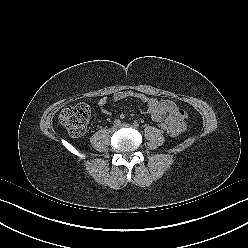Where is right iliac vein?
Returning a JSON list of instances; mask_svg holds the SVG:
<instances>
[{"mask_svg":"<svg viewBox=\"0 0 248 248\" xmlns=\"http://www.w3.org/2000/svg\"><path fill=\"white\" fill-rule=\"evenodd\" d=\"M116 130H117V127L113 126V127L110 128V133H114Z\"/></svg>","mask_w":248,"mask_h":248,"instance_id":"obj_1","label":"right iliac vein"}]
</instances>
